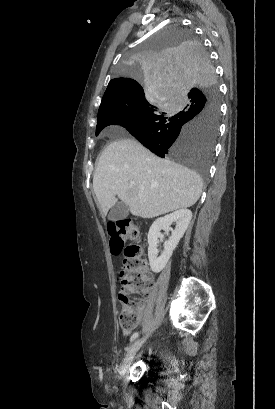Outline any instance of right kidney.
I'll return each mask as SVG.
<instances>
[{
    "label": "right kidney",
    "mask_w": 275,
    "mask_h": 409,
    "mask_svg": "<svg viewBox=\"0 0 275 409\" xmlns=\"http://www.w3.org/2000/svg\"><path fill=\"white\" fill-rule=\"evenodd\" d=\"M191 219L192 213L189 209H179V211H175V213H171V215L156 219L153 225H151L148 233V259L153 273L163 271L170 257H172L174 249H176L180 239H182L185 231H187ZM173 223H176L174 231H172L170 227ZM161 229H164V231H172V235L168 241H166L163 253H161L160 257H157L159 253L157 249L159 239H163L164 237V235L160 233Z\"/></svg>",
    "instance_id": "right-kidney-1"
}]
</instances>
